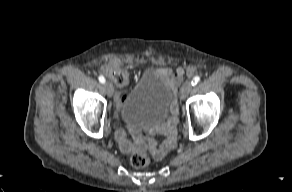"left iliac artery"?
Masks as SVG:
<instances>
[{"instance_id":"1","label":"left iliac artery","mask_w":292,"mask_h":192,"mask_svg":"<svg viewBox=\"0 0 292 192\" xmlns=\"http://www.w3.org/2000/svg\"><path fill=\"white\" fill-rule=\"evenodd\" d=\"M199 81H200V77L199 76H195L193 78V80L191 81L192 86L196 85Z\"/></svg>"}]
</instances>
